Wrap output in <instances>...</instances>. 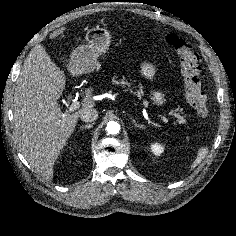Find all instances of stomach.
<instances>
[{"label": "stomach", "instance_id": "stomach-1", "mask_svg": "<svg viewBox=\"0 0 236 236\" xmlns=\"http://www.w3.org/2000/svg\"><path fill=\"white\" fill-rule=\"evenodd\" d=\"M86 41L87 44L74 49L69 58L70 65L80 67L83 73L92 72L96 68L98 57L109 49L111 35L106 28L97 26L87 31ZM140 73L144 78L153 80L156 68L150 62H143L140 66ZM150 100L157 105H162L166 101L165 95L160 91H152Z\"/></svg>", "mask_w": 236, "mask_h": 236}]
</instances>
